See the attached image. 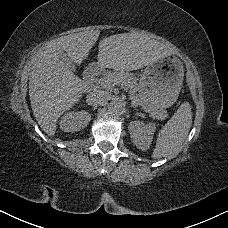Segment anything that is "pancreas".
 Returning <instances> with one entry per match:
<instances>
[{
  "instance_id": "1",
  "label": "pancreas",
  "mask_w": 228,
  "mask_h": 228,
  "mask_svg": "<svg viewBox=\"0 0 228 228\" xmlns=\"http://www.w3.org/2000/svg\"><path fill=\"white\" fill-rule=\"evenodd\" d=\"M102 80H111L113 87L115 85L125 89L129 90L130 93V99L134 100L140 107H144L145 111L150 114V116L163 121L164 119H167L169 117L168 113L164 110H155V109H149L146 107L145 102L138 96V84L136 82V78L131 75L128 72H122V71H106L101 78ZM103 89H106L102 87Z\"/></svg>"
}]
</instances>
